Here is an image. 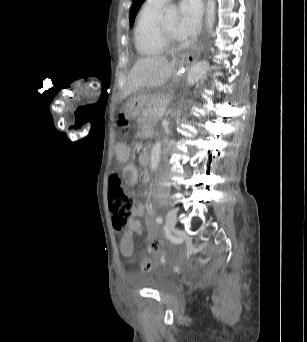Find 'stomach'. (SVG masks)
<instances>
[{
  "label": "stomach",
  "mask_w": 307,
  "mask_h": 342,
  "mask_svg": "<svg viewBox=\"0 0 307 342\" xmlns=\"http://www.w3.org/2000/svg\"><path fill=\"white\" fill-rule=\"evenodd\" d=\"M188 64L186 61H179L171 75L173 81H176L185 72ZM149 95H137L130 98L123 107V114L127 119H133L139 116L144 110Z\"/></svg>",
  "instance_id": "obj_1"
}]
</instances>
